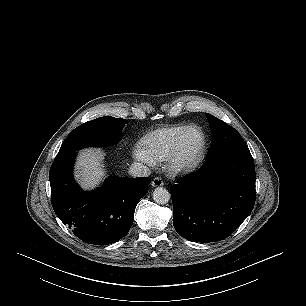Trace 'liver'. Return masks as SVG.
Masks as SVG:
<instances>
[{
	"mask_svg": "<svg viewBox=\"0 0 306 306\" xmlns=\"http://www.w3.org/2000/svg\"><path fill=\"white\" fill-rule=\"evenodd\" d=\"M103 153L99 149H85L76 163V176L84 189L96 187L105 175L102 164Z\"/></svg>",
	"mask_w": 306,
	"mask_h": 306,
	"instance_id": "liver-1",
	"label": "liver"
}]
</instances>
